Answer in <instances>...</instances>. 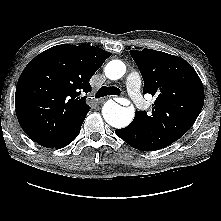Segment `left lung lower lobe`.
I'll list each match as a JSON object with an SVG mask.
<instances>
[{
  "label": "left lung lower lobe",
  "mask_w": 221,
  "mask_h": 221,
  "mask_svg": "<svg viewBox=\"0 0 221 221\" xmlns=\"http://www.w3.org/2000/svg\"><path fill=\"white\" fill-rule=\"evenodd\" d=\"M115 133L122 138L126 143H128L131 147L139 149V150H144L142 146L136 141V135L134 128L131 127L130 125L122 128V129H117L115 130ZM147 151V150H144Z\"/></svg>",
  "instance_id": "0a47b994"
}]
</instances>
